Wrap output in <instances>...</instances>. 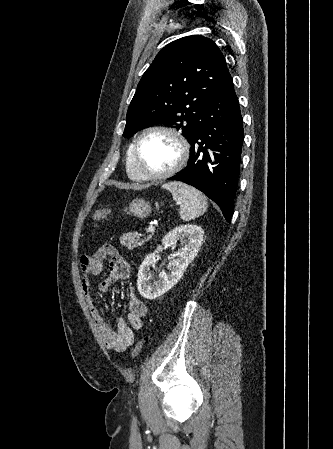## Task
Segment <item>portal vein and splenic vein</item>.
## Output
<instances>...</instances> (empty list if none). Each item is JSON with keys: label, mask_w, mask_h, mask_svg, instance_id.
<instances>
[{"label": "portal vein and splenic vein", "mask_w": 333, "mask_h": 449, "mask_svg": "<svg viewBox=\"0 0 333 449\" xmlns=\"http://www.w3.org/2000/svg\"><path fill=\"white\" fill-rule=\"evenodd\" d=\"M155 228L154 226L150 225L147 229V232H154Z\"/></svg>", "instance_id": "1"}]
</instances>
